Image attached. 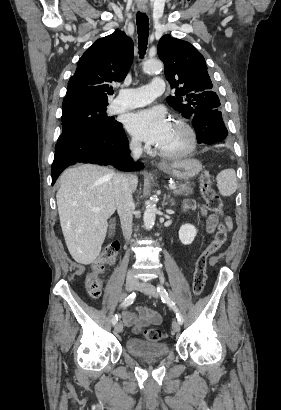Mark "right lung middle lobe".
Wrapping results in <instances>:
<instances>
[{
    "instance_id": "obj_1",
    "label": "right lung middle lobe",
    "mask_w": 281,
    "mask_h": 410,
    "mask_svg": "<svg viewBox=\"0 0 281 410\" xmlns=\"http://www.w3.org/2000/svg\"><path fill=\"white\" fill-rule=\"evenodd\" d=\"M106 106L89 103L62 106L63 131L57 142L82 133H107L117 130L122 124L107 117Z\"/></svg>"
}]
</instances>
